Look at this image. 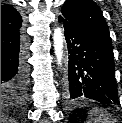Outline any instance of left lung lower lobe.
I'll list each match as a JSON object with an SVG mask.
<instances>
[{"label":"left lung lower lobe","mask_w":122,"mask_h":123,"mask_svg":"<svg viewBox=\"0 0 122 123\" xmlns=\"http://www.w3.org/2000/svg\"><path fill=\"white\" fill-rule=\"evenodd\" d=\"M59 22L64 27L69 54L65 79L67 100L118 104L112 45L63 16Z\"/></svg>","instance_id":"obj_1"}]
</instances>
